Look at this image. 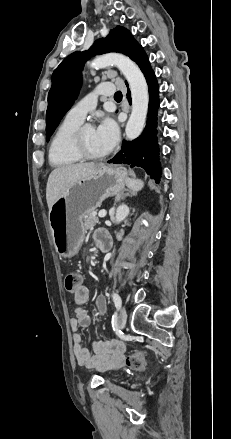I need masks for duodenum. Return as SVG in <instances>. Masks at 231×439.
Returning <instances> with one entry per match:
<instances>
[{"instance_id":"1","label":"duodenum","mask_w":231,"mask_h":439,"mask_svg":"<svg viewBox=\"0 0 231 439\" xmlns=\"http://www.w3.org/2000/svg\"><path fill=\"white\" fill-rule=\"evenodd\" d=\"M112 243L108 238L103 239L99 242L98 247L102 252H108L111 249Z\"/></svg>"}]
</instances>
